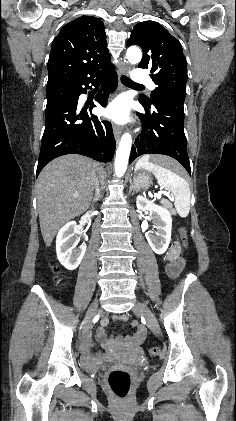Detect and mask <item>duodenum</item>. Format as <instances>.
<instances>
[{
	"mask_svg": "<svg viewBox=\"0 0 236 421\" xmlns=\"http://www.w3.org/2000/svg\"><path fill=\"white\" fill-rule=\"evenodd\" d=\"M167 260H168V271L170 273V275L174 276L176 275L182 268V262L181 260L178 258L177 256V251L175 249H173L168 255H167ZM134 339V338H132ZM104 345L106 347H109L111 345V342H105ZM90 346V340L86 339L84 342V347L82 349L81 352V359H82V363L84 364L85 367L89 368V369H93L97 366H99L100 364H102L104 361L107 360L108 355H96V356H92L89 351H88V347Z\"/></svg>",
	"mask_w": 236,
	"mask_h": 421,
	"instance_id": "1",
	"label": "duodenum"
}]
</instances>
